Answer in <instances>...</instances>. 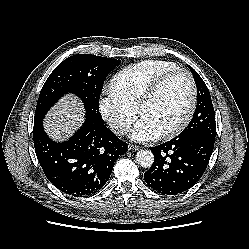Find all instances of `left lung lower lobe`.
<instances>
[{
	"instance_id": "0a47b994",
	"label": "left lung lower lobe",
	"mask_w": 249,
	"mask_h": 249,
	"mask_svg": "<svg viewBox=\"0 0 249 249\" xmlns=\"http://www.w3.org/2000/svg\"><path fill=\"white\" fill-rule=\"evenodd\" d=\"M215 138L203 134L175 137L150 147L154 163L144 173L146 183L155 191L176 195L193 187L203 175L213 148Z\"/></svg>"
}]
</instances>
